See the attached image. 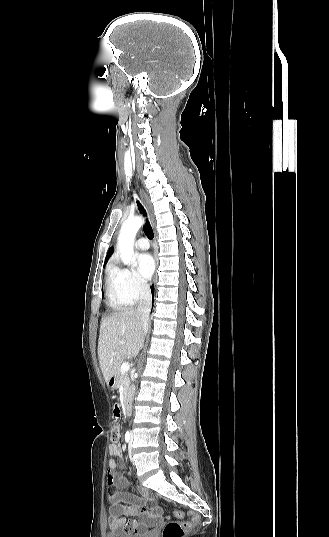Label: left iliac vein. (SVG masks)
Listing matches in <instances>:
<instances>
[{"label": "left iliac vein", "instance_id": "left-iliac-vein-1", "mask_svg": "<svg viewBox=\"0 0 329 537\" xmlns=\"http://www.w3.org/2000/svg\"><path fill=\"white\" fill-rule=\"evenodd\" d=\"M132 442H133V434L131 433L130 443H129V449H130V450H131V448H132Z\"/></svg>", "mask_w": 329, "mask_h": 537}]
</instances>
